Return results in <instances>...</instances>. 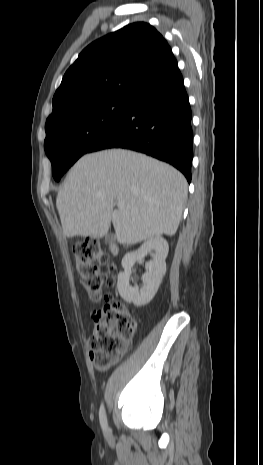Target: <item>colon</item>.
Masks as SVG:
<instances>
[{"label": "colon", "instance_id": "1", "mask_svg": "<svg viewBox=\"0 0 263 465\" xmlns=\"http://www.w3.org/2000/svg\"><path fill=\"white\" fill-rule=\"evenodd\" d=\"M76 271L81 282L93 298H99L104 283L114 284V278L106 276L101 267L108 256L95 238L74 246ZM136 322L126 307L116 299H108L104 307L94 315V325L89 337L90 358L98 369H106L122 356L132 340Z\"/></svg>", "mask_w": 263, "mask_h": 465}]
</instances>
